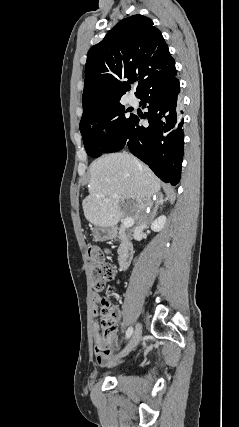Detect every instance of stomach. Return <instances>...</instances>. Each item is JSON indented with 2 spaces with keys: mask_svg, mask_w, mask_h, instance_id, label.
Segmentation results:
<instances>
[{
  "mask_svg": "<svg viewBox=\"0 0 239 427\" xmlns=\"http://www.w3.org/2000/svg\"><path fill=\"white\" fill-rule=\"evenodd\" d=\"M92 235L95 241L102 242L113 238L114 230L112 228L96 226L92 231Z\"/></svg>",
  "mask_w": 239,
  "mask_h": 427,
  "instance_id": "0dacf381",
  "label": "stomach"
}]
</instances>
